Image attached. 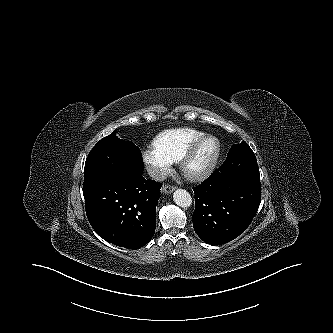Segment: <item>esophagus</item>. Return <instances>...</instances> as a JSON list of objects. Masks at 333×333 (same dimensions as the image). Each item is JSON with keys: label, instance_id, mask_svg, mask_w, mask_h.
<instances>
[{"label": "esophagus", "instance_id": "esophagus-1", "mask_svg": "<svg viewBox=\"0 0 333 333\" xmlns=\"http://www.w3.org/2000/svg\"><path fill=\"white\" fill-rule=\"evenodd\" d=\"M175 189H176L175 186L164 185V186L161 188V192H162L163 194H170V193H172Z\"/></svg>", "mask_w": 333, "mask_h": 333}]
</instances>
